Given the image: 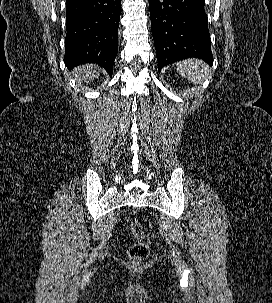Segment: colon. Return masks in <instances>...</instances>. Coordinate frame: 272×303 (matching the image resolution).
<instances>
[{
	"label": "colon",
	"instance_id": "1",
	"mask_svg": "<svg viewBox=\"0 0 272 303\" xmlns=\"http://www.w3.org/2000/svg\"><path fill=\"white\" fill-rule=\"evenodd\" d=\"M129 232L134 242L128 248V256L133 263H142L150 254L149 233L138 220L131 222Z\"/></svg>",
	"mask_w": 272,
	"mask_h": 303
}]
</instances>
